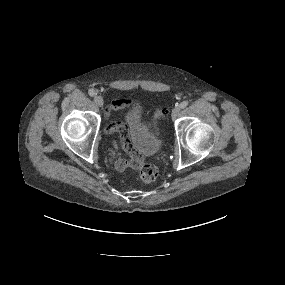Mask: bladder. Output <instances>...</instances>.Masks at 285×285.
Listing matches in <instances>:
<instances>
[{"label": "bladder", "instance_id": "1", "mask_svg": "<svg viewBox=\"0 0 285 285\" xmlns=\"http://www.w3.org/2000/svg\"><path fill=\"white\" fill-rule=\"evenodd\" d=\"M124 122L130 129L133 141L140 151L149 154L158 149L160 141L152 135L142 121L141 111L138 107H132L126 112Z\"/></svg>", "mask_w": 285, "mask_h": 285}]
</instances>
